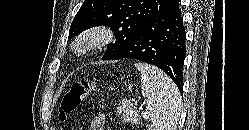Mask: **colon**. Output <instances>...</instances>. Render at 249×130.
Returning <instances> with one entry per match:
<instances>
[{"label": "colon", "instance_id": "colon-1", "mask_svg": "<svg viewBox=\"0 0 249 130\" xmlns=\"http://www.w3.org/2000/svg\"><path fill=\"white\" fill-rule=\"evenodd\" d=\"M98 91L95 84L88 81H78L71 85L64 94L59 105V118L64 120L66 116L75 111L82 101L91 93Z\"/></svg>", "mask_w": 249, "mask_h": 130}]
</instances>
